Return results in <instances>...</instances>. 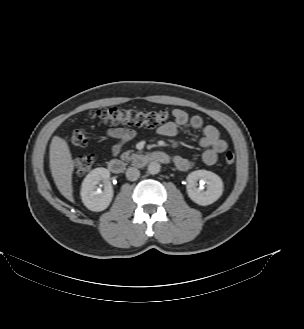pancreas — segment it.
<instances>
[{
  "label": "pancreas",
  "instance_id": "obj_1",
  "mask_svg": "<svg viewBox=\"0 0 304 329\" xmlns=\"http://www.w3.org/2000/svg\"><path fill=\"white\" fill-rule=\"evenodd\" d=\"M132 152L133 151H126V152L122 153L121 159L127 160V161L133 160L136 156H138V154L135 155V154H132Z\"/></svg>",
  "mask_w": 304,
  "mask_h": 329
}]
</instances>
